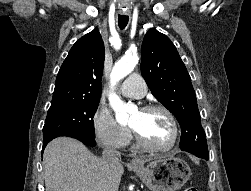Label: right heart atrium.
Wrapping results in <instances>:
<instances>
[{"mask_svg": "<svg viewBox=\"0 0 251 191\" xmlns=\"http://www.w3.org/2000/svg\"><path fill=\"white\" fill-rule=\"evenodd\" d=\"M96 142L102 147L123 148L132 138L129 128L121 125L105 107L99 105L91 117Z\"/></svg>", "mask_w": 251, "mask_h": 191, "instance_id": "obj_1", "label": "right heart atrium"}]
</instances>
